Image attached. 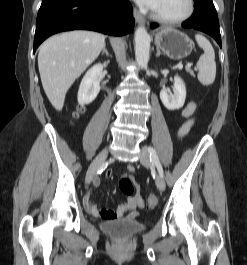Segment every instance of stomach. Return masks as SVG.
<instances>
[{
  "instance_id": "obj_1",
  "label": "stomach",
  "mask_w": 247,
  "mask_h": 265,
  "mask_svg": "<svg viewBox=\"0 0 247 265\" xmlns=\"http://www.w3.org/2000/svg\"><path fill=\"white\" fill-rule=\"evenodd\" d=\"M155 44L170 59L180 60L193 50L192 40L184 33L173 29L163 28L155 34Z\"/></svg>"
}]
</instances>
